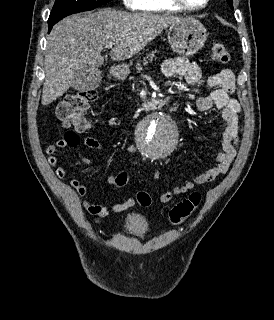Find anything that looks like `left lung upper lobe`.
Instances as JSON below:
<instances>
[{
  "mask_svg": "<svg viewBox=\"0 0 274 320\" xmlns=\"http://www.w3.org/2000/svg\"><path fill=\"white\" fill-rule=\"evenodd\" d=\"M227 2L230 5L231 9H233V0H227Z\"/></svg>",
  "mask_w": 274,
  "mask_h": 320,
  "instance_id": "5c2ea615",
  "label": "left lung upper lobe"
}]
</instances>
